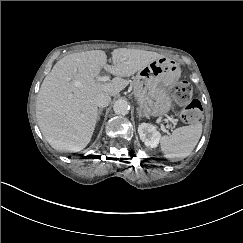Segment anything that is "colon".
Masks as SVG:
<instances>
[{"label": "colon", "mask_w": 243, "mask_h": 243, "mask_svg": "<svg viewBox=\"0 0 243 243\" xmlns=\"http://www.w3.org/2000/svg\"><path fill=\"white\" fill-rule=\"evenodd\" d=\"M172 96L183 105L180 117L184 123H195L201 120L202 107L198 100L192 99V87L187 81H181L172 89Z\"/></svg>", "instance_id": "obj_1"}]
</instances>
